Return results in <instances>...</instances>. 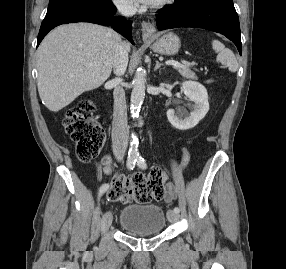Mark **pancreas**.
Returning <instances> with one entry per match:
<instances>
[{
	"label": "pancreas",
	"instance_id": "pancreas-1",
	"mask_svg": "<svg viewBox=\"0 0 286 269\" xmlns=\"http://www.w3.org/2000/svg\"><path fill=\"white\" fill-rule=\"evenodd\" d=\"M174 68L177 69L178 72H179L183 77H185V78H187V79H196V78H197L196 74H195L193 71H191V70H189V69H187V68H184V67H176V66H174Z\"/></svg>",
	"mask_w": 286,
	"mask_h": 269
}]
</instances>
